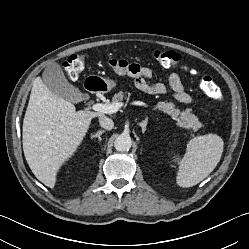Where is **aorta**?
<instances>
[{
  "instance_id": "obj_1",
  "label": "aorta",
  "mask_w": 249,
  "mask_h": 249,
  "mask_svg": "<svg viewBox=\"0 0 249 249\" xmlns=\"http://www.w3.org/2000/svg\"><path fill=\"white\" fill-rule=\"evenodd\" d=\"M131 146L132 140L127 134H121L115 139L114 147L119 152L129 151Z\"/></svg>"
}]
</instances>
